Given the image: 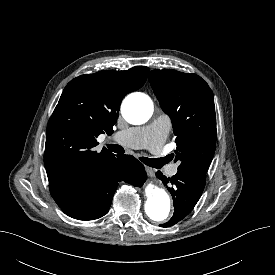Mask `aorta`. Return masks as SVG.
Listing matches in <instances>:
<instances>
[{
    "mask_svg": "<svg viewBox=\"0 0 275 275\" xmlns=\"http://www.w3.org/2000/svg\"><path fill=\"white\" fill-rule=\"evenodd\" d=\"M154 111V103L150 97L143 93L132 94L127 97L121 106V112L127 122L140 125L149 120ZM145 212L156 222L168 219L172 206L167 191L155 184H148L145 188Z\"/></svg>",
    "mask_w": 275,
    "mask_h": 275,
    "instance_id": "aorta-1",
    "label": "aorta"
}]
</instances>
